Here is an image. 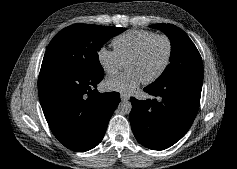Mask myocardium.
<instances>
[{
    "label": "myocardium",
    "mask_w": 237,
    "mask_h": 169,
    "mask_svg": "<svg viewBox=\"0 0 237 169\" xmlns=\"http://www.w3.org/2000/svg\"><path fill=\"white\" fill-rule=\"evenodd\" d=\"M157 38H162L166 41L167 54L160 69L153 76L142 81V83L146 85L157 81L165 73L166 69L168 68L171 57H172V53H173V45H172L171 39L166 34H155L149 37L147 40H145L142 43V45L132 55L128 57V59L125 62V66H126L130 61L139 58L144 53L148 45Z\"/></svg>",
    "instance_id": "f54148a6"
}]
</instances>
